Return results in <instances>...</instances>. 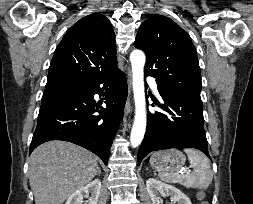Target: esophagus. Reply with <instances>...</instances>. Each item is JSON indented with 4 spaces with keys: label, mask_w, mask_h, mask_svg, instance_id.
<instances>
[{
    "label": "esophagus",
    "mask_w": 253,
    "mask_h": 204,
    "mask_svg": "<svg viewBox=\"0 0 253 204\" xmlns=\"http://www.w3.org/2000/svg\"><path fill=\"white\" fill-rule=\"evenodd\" d=\"M127 75H128V82H129V88H130V94H131L132 79H131V71L129 68L127 69ZM132 111H133V105H132V100L130 96L125 106V115L131 114Z\"/></svg>",
    "instance_id": "34e87169"
}]
</instances>
